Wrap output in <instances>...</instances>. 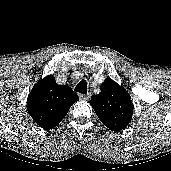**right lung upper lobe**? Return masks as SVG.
I'll list each match as a JSON object with an SVG mask.
<instances>
[{
	"mask_svg": "<svg viewBox=\"0 0 171 171\" xmlns=\"http://www.w3.org/2000/svg\"><path fill=\"white\" fill-rule=\"evenodd\" d=\"M79 100L67 85H58L52 75L40 80L27 99V111L44 130L56 127L66 116L69 108Z\"/></svg>",
	"mask_w": 171,
	"mask_h": 171,
	"instance_id": "cb5924a9",
	"label": "right lung upper lobe"
}]
</instances>
